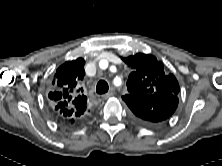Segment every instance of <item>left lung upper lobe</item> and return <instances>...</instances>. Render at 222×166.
Segmentation results:
<instances>
[{
  "label": "left lung upper lobe",
  "mask_w": 222,
  "mask_h": 166,
  "mask_svg": "<svg viewBox=\"0 0 222 166\" xmlns=\"http://www.w3.org/2000/svg\"><path fill=\"white\" fill-rule=\"evenodd\" d=\"M122 59L132 68L127 81L129 93L122 96L130 109L136 107L132 97L145 98L154 104L159 98L178 95L180 91L178 81L173 74L164 72L163 64L153 55L138 53ZM141 109H145V106L142 105Z\"/></svg>",
  "instance_id": "1"
}]
</instances>
